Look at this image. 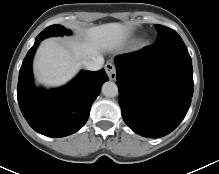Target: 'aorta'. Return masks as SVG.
Here are the masks:
<instances>
[{
	"mask_svg": "<svg viewBox=\"0 0 219 174\" xmlns=\"http://www.w3.org/2000/svg\"><path fill=\"white\" fill-rule=\"evenodd\" d=\"M102 93L106 97H116L118 95V87L114 82H105L102 86Z\"/></svg>",
	"mask_w": 219,
	"mask_h": 174,
	"instance_id": "1",
	"label": "aorta"
}]
</instances>
